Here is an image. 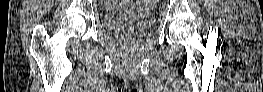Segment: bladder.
I'll return each mask as SVG.
<instances>
[{"label": "bladder", "mask_w": 263, "mask_h": 92, "mask_svg": "<svg viewBox=\"0 0 263 92\" xmlns=\"http://www.w3.org/2000/svg\"><path fill=\"white\" fill-rule=\"evenodd\" d=\"M104 22L108 28L117 31H144L153 24L154 16L145 8L116 9L105 13Z\"/></svg>", "instance_id": "obj_1"}]
</instances>
